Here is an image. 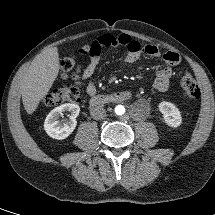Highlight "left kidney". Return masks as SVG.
Masks as SVG:
<instances>
[{
  "instance_id": "5707ae66",
  "label": "left kidney",
  "mask_w": 215,
  "mask_h": 215,
  "mask_svg": "<svg viewBox=\"0 0 215 215\" xmlns=\"http://www.w3.org/2000/svg\"><path fill=\"white\" fill-rule=\"evenodd\" d=\"M158 107L163 115L164 122L168 126L177 128L182 124L181 113L173 103L163 101Z\"/></svg>"
}]
</instances>
